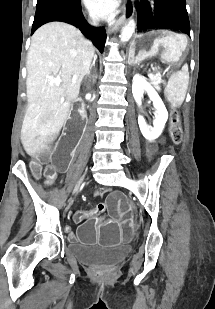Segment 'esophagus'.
<instances>
[{
    "label": "esophagus",
    "instance_id": "esophagus-1",
    "mask_svg": "<svg viewBox=\"0 0 215 309\" xmlns=\"http://www.w3.org/2000/svg\"><path fill=\"white\" fill-rule=\"evenodd\" d=\"M134 14V3L133 0H124L123 4V13L120 18V23H117L113 26V28H110L108 30L109 33H112L114 30L118 29V27L130 20L133 17Z\"/></svg>",
    "mask_w": 215,
    "mask_h": 309
}]
</instances>
